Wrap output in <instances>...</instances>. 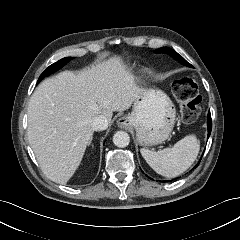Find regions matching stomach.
Segmentation results:
<instances>
[{
  "instance_id": "0dacf381",
  "label": "stomach",
  "mask_w": 240,
  "mask_h": 240,
  "mask_svg": "<svg viewBox=\"0 0 240 240\" xmlns=\"http://www.w3.org/2000/svg\"><path fill=\"white\" fill-rule=\"evenodd\" d=\"M175 117L174 105L164 92L143 89L126 118L128 124L135 128L139 143L147 146L160 144L169 138Z\"/></svg>"
}]
</instances>
